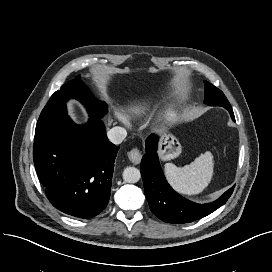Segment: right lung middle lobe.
Here are the masks:
<instances>
[{
  "label": "right lung middle lobe",
  "instance_id": "obj_1",
  "mask_svg": "<svg viewBox=\"0 0 272 272\" xmlns=\"http://www.w3.org/2000/svg\"><path fill=\"white\" fill-rule=\"evenodd\" d=\"M69 98H75L84 103L92 119H100L107 112V105L96 101L87 86L78 78L64 84L59 91H56L51 96L39 116L37 126L61 122L68 118L66 102Z\"/></svg>",
  "mask_w": 272,
  "mask_h": 272
}]
</instances>
